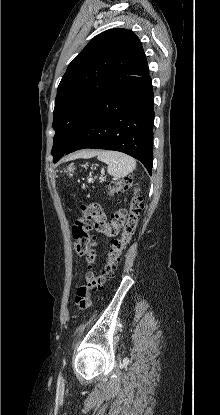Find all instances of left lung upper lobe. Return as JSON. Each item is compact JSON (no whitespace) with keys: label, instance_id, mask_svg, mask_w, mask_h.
<instances>
[{"label":"left lung upper lobe","instance_id":"left-lung-upper-lobe-1","mask_svg":"<svg viewBox=\"0 0 220 415\" xmlns=\"http://www.w3.org/2000/svg\"><path fill=\"white\" fill-rule=\"evenodd\" d=\"M146 66L141 42L132 31L111 29L94 37L69 64L58 86L52 155L67 151L116 79L136 74Z\"/></svg>","mask_w":220,"mask_h":415}]
</instances>
